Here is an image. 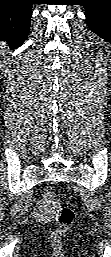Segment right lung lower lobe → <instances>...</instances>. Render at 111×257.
<instances>
[{"mask_svg": "<svg viewBox=\"0 0 111 257\" xmlns=\"http://www.w3.org/2000/svg\"><path fill=\"white\" fill-rule=\"evenodd\" d=\"M32 14V0H0V40L10 47L27 39Z\"/></svg>", "mask_w": 111, "mask_h": 257, "instance_id": "obj_1", "label": "right lung lower lobe"}]
</instances>
